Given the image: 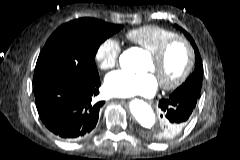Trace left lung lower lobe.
<instances>
[{
    "label": "left lung lower lobe",
    "mask_w": 240,
    "mask_h": 160,
    "mask_svg": "<svg viewBox=\"0 0 240 160\" xmlns=\"http://www.w3.org/2000/svg\"><path fill=\"white\" fill-rule=\"evenodd\" d=\"M198 99L189 95L171 94L167 99L159 101L162 110L161 117L164 118L165 129L159 136L150 134L155 139H168L176 136L185 126Z\"/></svg>",
    "instance_id": "obj_1"
}]
</instances>
